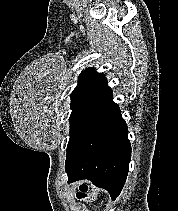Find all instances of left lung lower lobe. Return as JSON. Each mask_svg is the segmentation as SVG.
I'll return each instance as SVG.
<instances>
[{
	"label": "left lung lower lobe",
	"mask_w": 178,
	"mask_h": 211,
	"mask_svg": "<svg viewBox=\"0 0 178 211\" xmlns=\"http://www.w3.org/2000/svg\"><path fill=\"white\" fill-rule=\"evenodd\" d=\"M130 158L127 125L111 98L104 113L66 159L68 183L88 179L106 189L114 200L125 184Z\"/></svg>",
	"instance_id": "0a47b994"
}]
</instances>
